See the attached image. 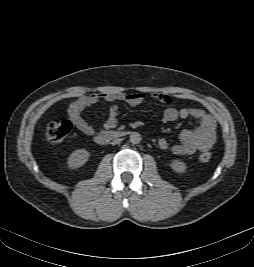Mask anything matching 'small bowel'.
I'll use <instances>...</instances> for the list:
<instances>
[{
	"label": "small bowel",
	"instance_id": "obj_1",
	"mask_svg": "<svg viewBox=\"0 0 254 267\" xmlns=\"http://www.w3.org/2000/svg\"><path fill=\"white\" fill-rule=\"evenodd\" d=\"M151 97L160 103L167 105L163 111L162 121L165 123L175 122L179 118H192L197 121V126L192 130H185L181 133L179 142L171 147L175 155H192L197 151L205 152L211 149L216 140V122L211 115L197 107L175 108L170 106L172 99L166 94L153 93ZM145 93H107L103 95L82 96L70 103L67 114L73 125L83 134L94 137L108 130L115 128L118 124L120 109L116 102H124L129 106H138L144 102ZM112 103L108 110V118L101 129L90 125L82 116V112L99 102L100 100ZM159 147L169 148L165 139H160Z\"/></svg>",
	"mask_w": 254,
	"mask_h": 267
}]
</instances>
